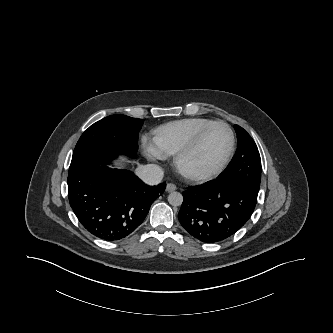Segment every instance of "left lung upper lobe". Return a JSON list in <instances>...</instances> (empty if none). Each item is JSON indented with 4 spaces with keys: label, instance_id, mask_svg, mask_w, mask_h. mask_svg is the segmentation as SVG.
I'll list each match as a JSON object with an SVG mask.
<instances>
[{
    "label": "left lung upper lobe",
    "instance_id": "1",
    "mask_svg": "<svg viewBox=\"0 0 333 333\" xmlns=\"http://www.w3.org/2000/svg\"><path fill=\"white\" fill-rule=\"evenodd\" d=\"M237 134V151L232 162L216 180H235L258 190L261 181V159L257 146L251 136L238 125H234Z\"/></svg>",
    "mask_w": 333,
    "mask_h": 333
}]
</instances>
